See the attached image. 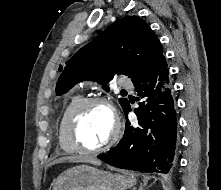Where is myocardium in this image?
Wrapping results in <instances>:
<instances>
[{
	"instance_id": "myocardium-1",
	"label": "myocardium",
	"mask_w": 221,
	"mask_h": 190,
	"mask_svg": "<svg viewBox=\"0 0 221 190\" xmlns=\"http://www.w3.org/2000/svg\"><path fill=\"white\" fill-rule=\"evenodd\" d=\"M96 104H101L105 105L112 113L113 120H114V128L111 137L109 138L108 141H106L104 144L94 147V148H89L85 146L81 138L79 136V128H80V123L82 116L86 112V110ZM121 132V123L120 119L118 116V113L111 102L106 97H91L83 100L71 113L69 116L68 122H67V134L70 142L72 145L75 147L77 152L84 153V154H96L100 153L103 151L108 150L111 148L118 140Z\"/></svg>"
}]
</instances>
